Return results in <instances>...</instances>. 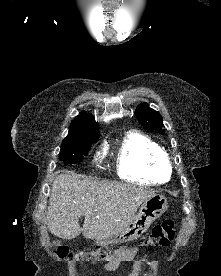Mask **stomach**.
<instances>
[{"instance_id": "1", "label": "stomach", "mask_w": 221, "mask_h": 276, "mask_svg": "<svg viewBox=\"0 0 221 276\" xmlns=\"http://www.w3.org/2000/svg\"><path fill=\"white\" fill-rule=\"evenodd\" d=\"M167 199L161 195H154L144 201L138 213L127 224L124 230L116 235L98 241V245L122 244L141 237L150 225L167 210Z\"/></svg>"}]
</instances>
